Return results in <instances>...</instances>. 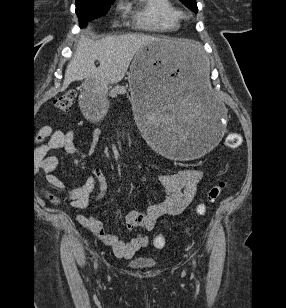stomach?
<instances>
[{"instance_id":"stomach-1","label":"stomach","mask_w":286,"mask_h":308,"mask_svg":"<svg viewBox=\"0 0 286 308\" xmlns=\"http://www.w3.org/2000/svg\"><path fill=\"white\" fill-rule=\"evenodd\" d=\"M204 44L166 36L153 40L136 53L128 73L129 90L137 114L136 125H145L146 144L160 159L188 164L201 159L215 144H225L223 100L210 84V55ZM108 85L85 81L80 97L82 110L105 116Z\"/></svg>"}]
</instances>
